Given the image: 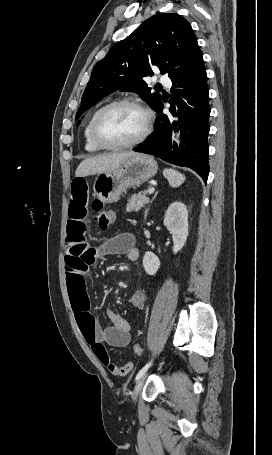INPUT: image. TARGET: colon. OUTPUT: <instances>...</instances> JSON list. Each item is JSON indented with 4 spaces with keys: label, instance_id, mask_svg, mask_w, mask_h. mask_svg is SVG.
I'll use <instances>...</instances> for the list:
<instances>
[{
    "label": "colon",
    "instance_id": "1",
    "mask_svg": "<svg viewBox=\"0 0 272 455\" xmlns=\"http://www.w3.org/2000/svg\"><path fill=\"white\" fill-rule=\"evenodd\" d=\"M92 210L94 214V220L97 223L98 227L101 230H107L113 222V213L110 210L105 209L97 200L92 203ZM134 353L137 356H141L143 354V347L140 344H136L134 346Z\"/></svg>",
    "mask_w": 272,
    "mask_h": 455
}]
</instances>
